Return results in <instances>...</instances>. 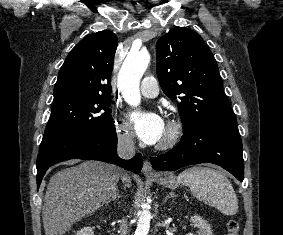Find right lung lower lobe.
Here are the masks:
<instances>
[{"label": "right lung lower lobe", "mask_w": 283, "mask_h": 235, "mask_svg": "<svg viewBox=\"0 0 283 235\" xmlns=\"http://www.w3.org/2000/svg\"><path fill=\"white\" fill-rule=\"evenodd\" d=\"M117 134L115 127L94 136L76 137L43 152L37 157V186L39 188L45 172L53 164L68 159L99 160L115 163L139 174L143 160L140 154L125 161L116 154Z\"/></svg>", "instance_id": "98d812e1"}]
</instances>
